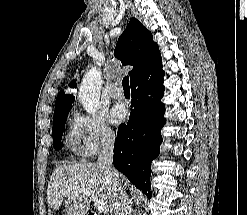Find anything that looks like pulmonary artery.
<instances>
[{"label":"pulmonary artery","instance_id":"obj_1","mask_svg":"<svg viewBox=\"0 0 247 215\" xmlns=\"http://www.w3.org/2000/svg\"><path fill=\"white\" fill-rule=\"evenodd\" d=\"M110 95L114 99H122L124 97V92L118 84H113L110 88Z\"/></svg>","mask_w":247,"mask_h":215}]
</instances>
